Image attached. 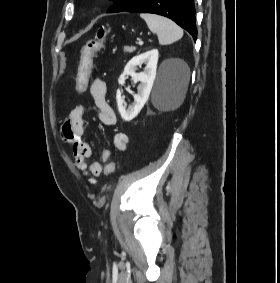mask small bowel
<instances>
[{
    "label": "small bowel",
    "instance_id": "obj_1",
    "mask_svg": "<svg viewBox=\"0 0 280 283\" xmlns=\"http://www.w3.org/2000/svg\"><path fill=\"white\" fill-rule=\"evenodd\" d=\"M90 94L94 100L96 114L99 122L105 126H113L116 122L115 114L106 99V84L99 78L88 82ZM85 107L78 105L74 107L66 117L62 128L61 136L63 141L71 147L72 157L75 166L83 171L91 183L96 182L103 171V163H107L112 158V152L109 149L101 151V161H93L88 164V160L92 157V147L84 141L85 125H84ZM129 137L125 133H117L114 136V146L119 151L127 149Z\"/></svg>",
    "mask_w": 280,
    "mask_h": 283
}]
</instances>
